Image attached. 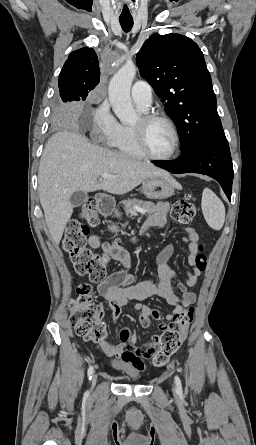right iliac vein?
Returning <instances> with one entry per match:
<instances>
[{"label":"right iliac vein","mask_w":256,"mask_h":445,"mask_svg":"<svg viewBox=\"0 0 256 445\" xmlns=\"http://www.w3.org/2000/svg\"><path fill=\"white\" fill-rule=\"evenodd\" d=\"M96 382H97V375L94 374V375L92 376V378H91V385H92V388L96 385Z\"/></svg>","instance_id":"right-iliac-vein-1"}]
</instances>
